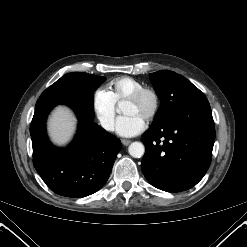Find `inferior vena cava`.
<instances>
[{"instance_id":"1","label":"inferior vena cava","mask_w":247,"mask_h":247,"mask_svg":"<svg viewBox=\"0 0 247 247\" xmlns=\"http://www.w3.org/2000/svg\"><path fill=\"white\" fill-rule=\"evenodd\" d=\"M101 125L105 130L113 131L114 130V120L112 118H103L101 119Z\"/></svg>"}]
</instances>
